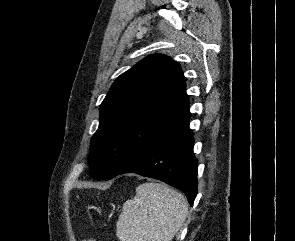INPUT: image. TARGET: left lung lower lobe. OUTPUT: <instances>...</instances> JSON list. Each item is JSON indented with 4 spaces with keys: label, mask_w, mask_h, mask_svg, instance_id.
I'll list each match as a JSON object with an SVG mask.
<instances>
[{
    "label": "left lung lower lobe",
    "mask_w": 295,
    "mask_h": 241,
    "mask_svg": "<svg viewBox=\"0 0 295 241\" xmlns=\"http://www.w3.org/2000/svg\"><path fill=\"white\" fill-rule=\"evenodd\" d=\"M189 123L190 116L159 135L110 179L125 173L159 179L183 191L192 206L197 195L198 161L193 153L194 138Z\"/></svg>",
    "instance_id": "1"
}]
</instances>
